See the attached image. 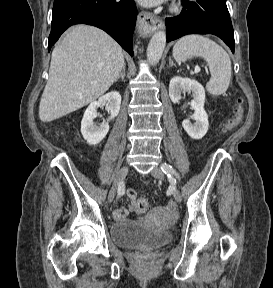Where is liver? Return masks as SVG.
I'll return each instance as SVG.
<instances>
[{"label": "liver", "mask_w": 273, "mask_h": 288, "mask_svg": "<svg viewBox=\"0 0 273 288\" xmlns=\"http://www.w3.org/2000/svg\"><path fill=\"white\" fill-rule=\"evenodd\" d=\"M124 65L122 48L107 33L88 25L72 27L52 52L40 120L54 121L95 101Z\"/></svg>", "instance_id": "obj_1"}]
</instances>
